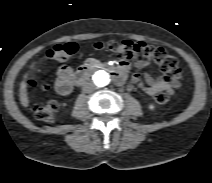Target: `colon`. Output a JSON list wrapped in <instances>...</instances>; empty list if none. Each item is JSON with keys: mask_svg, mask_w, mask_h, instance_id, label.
I'll return each mask as SVG.
<instances>
[{"mask_svg": "<svg viewBox=\"0 0 212 183\" xmlns=\"http://www.w3.org/2000/svg\"><path fill=\"white\" fill-rule=\"evenodd\" d=\"M96 50L109 51L124 59L147 58L154 61L164 73L166 80L174 81L182 77V70L178 60L165 49L147 45L143 42H133L129 40L97 42L94 45ZM77 45L75 43L57 44L48 51V56L56 60H64L75 54ZM29 86L33 89H45V85L35 80L29 81ZM169 93L160 91L154 95V100L158 104H165L169 100ZM32 110L36 117L44 122H52L58 110V103L54 99L45 102L35 103Z\"/></svg>", "mask_w": 212, "mask_h": 183, "instance_id": "colon-1", "label": "colon"}]
</instances>
